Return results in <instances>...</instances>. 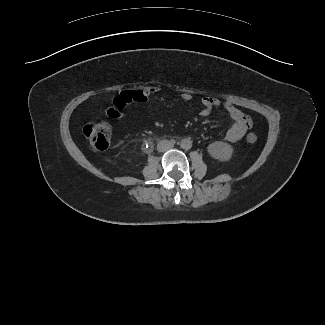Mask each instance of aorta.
Masks as SVG:
<instances>
[{
    "label": "aorta",
    "mask_w": 325,
    "mask_h": 325,
    "mask_svg": "<svg viewBox=\"0 0 325 325\" xmlns=\"http://www.w3.org/2000/svg\"><path fill=\"white\" fill-rule=\"evenodd\" d=\"M181 148L189 150L192 147V142L189 139H183L180 143Z\"/></svg>",
    "instance_id": "obj_1"
}]
</instances>
